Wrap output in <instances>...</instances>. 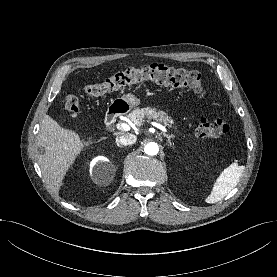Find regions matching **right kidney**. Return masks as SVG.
I'll return each mask as SVG.
<instances>
[{
	"label": "right kidney",
	"instance_id": "right-kidney-1",
	"mask_svg": "<svg viewBox=\"0 0 277 277\" xmlns=\"http://www.w3.org/2000/svg\"><path fill=\"white\" fill-rule=\"evenodd\" d=\"M95 162H97V166H98V165H106V164L109 163V162H108V159L105 158V157H99V158L96 159ZM95 162L92 164L91 172H92V170H93V167H94ZM95 180H96L97 183H101V184L106 182V179L104 178V175L102 174V171H99V172L95 175Z\"/></svg>",
	"mask_w": 277,
	"mask_h": 277
}]
</instances>
